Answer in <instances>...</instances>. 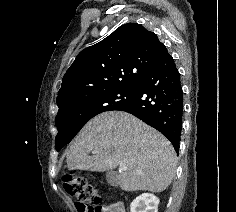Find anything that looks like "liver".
<instances>
[{"label":"liver","mask_w":236,"mask_h":212,"mask_svg":"<svg viewBox=\"0 0 236 212\" xmlns=\"http://www.w3.org/2000/svg\"><path fill=\"white\" fill-rule=\"evenodd\" d=\"M66 162L69 170L96 172L124 164L127 170L117 176L122 190L160 193L173 180L177 158L171 143L157 130L127 112L109 111L82 128Z\"/></svg>","instance_id":"6515ba94"}]
</instances>
